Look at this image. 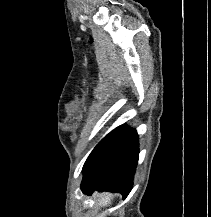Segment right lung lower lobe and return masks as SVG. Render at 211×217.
I'll return each mask as SVG.
<instances>
[{"label":"right lung lower lobe","instance_id":"98d812e1","mask_svg":"<svg viewBox=\"0 0 211 217\" xmlns=\"http://www.w3.org/2000/svg\"><path fill=\"white\" fill-rule=\"evenodd\" d=\"M138 147L135 129L123 125L110 132L97 144L83 167V193L119 192L125 199L132 189Z\"/></svg>","mask_w":211,"mask_h":217}]
</instances>
